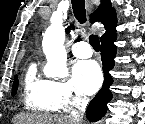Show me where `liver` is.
<instances>
[{
    "mask_svg": "<svg viewBox=\"0 0 145 124\" xmlns=\"http://www.w3.org/2000/svg\"><path fill=\"white\" fill-rule=\"evenodd\" d=\"M14 124H76L63 116L42 114H20L14 117Z\"/></svg>",
    "mask_w": 145,
    "mask_h": 124,
    "instance_id": "obj_1",
    "label": "liver"
}]
</instances>
